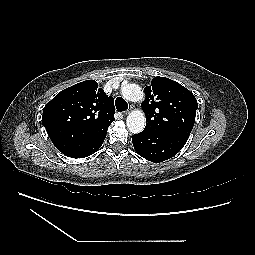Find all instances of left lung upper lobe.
I'll list each match as a JSON object with an SVG mask.
<instances>
[{
    "label": "left lung upper lobe",
    "mask_w": 255,
    "mask_h": 255,
    "mask_svg": "<svg viewBox=\"0 0 255 255\" xmlns=\"http://www.w3.org/2000/svg\"><path fill=\"white\" fill-rule=\"evenodd\" d=\"M141 106L146 114L145 132H167L189 136L198 103L188 89L166 77H155L144 88Z\"/></svg>",
    "instance_id": "obj_1"
}]
</instances>
